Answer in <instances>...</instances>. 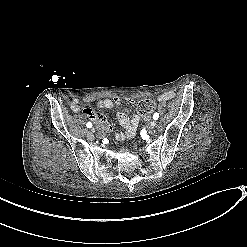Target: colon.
Returning a JSON list of instances; mask_svg holds the SVG:
<instances>
[{"mask_svg": "<svg viewBox=\"0 0 247 247\" xmlns=\"http://www.w3.org/2000/svg\"><path fill=\"white\" fill-rule=\"evenodd\" d=\"M155 108V103L151 100H140L137 104V110L140 115L150 114Z\"/></svg>", "mask_w": 247, "mask_h": 247, "instance_id": "obj_1", "label": "colon"}]
</instances>
